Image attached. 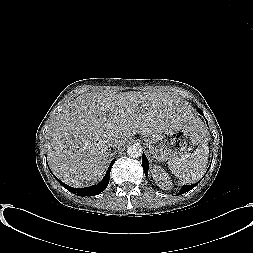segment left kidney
Here are the masks:
<instances>
[{"mask_svg": "<svg viewBox=\"0 0 253 253\" xmlns=\"http://www.w3.org/2000/svg\"><path fill=\"white\" fill-rule=\"evenodd\" d=\"M153 178L158 183V186L162 189H170L172 187V181L169 175L160 166H155Z\"/></svg>", "mask_w": 253, "mask_h": 253, "instance_id": "1", "label": "left kidney"}]
</instances>
